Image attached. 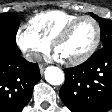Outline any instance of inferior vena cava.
I'll list each match as a JSON object with an SVG mask.
<instances>
[{"mask_svg":"<svg viewBox=\"0 0 112 112\" xmlns=\"http://www.w3.org/2000/svg\"><path fill=\"white\" fill-rule=\"evenodd\" d=\"M25 58L26 60L33 62V61L39 60L40 55L37 52H31V53L25 54Z\"/></svg>","mask_w":112,"mask_h":112,"instance_id":"1","label":"inferior vena cava"}]
</instances>
